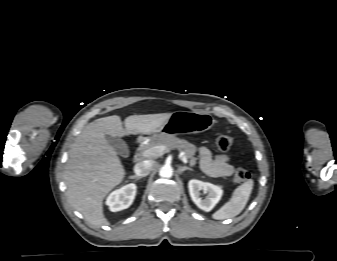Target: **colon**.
I'll return each instance as SVG.
<instances>
[{
  "label": "colon",
  "mask_w": 337,
  "mask_h": 261,
  "mask_svg": "<svg viewBox=\"0 0 337 261\" xmlns=\"http://www.w3.org/2000/svg\"><path fill=\"white\" fill-rule=\"evenodd\" d=\"M233 144V139L228 135H219L216 138V145L221 151H228ZM236 182L243 183L250 179V174L245 169H238L234 173Z\"/></svg>",
  "instance_id": "5ec220e1"
}]
</instances>
